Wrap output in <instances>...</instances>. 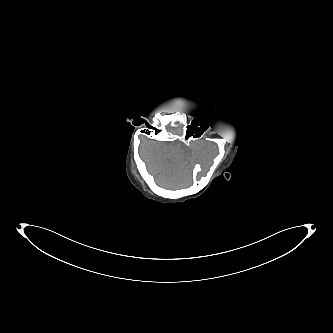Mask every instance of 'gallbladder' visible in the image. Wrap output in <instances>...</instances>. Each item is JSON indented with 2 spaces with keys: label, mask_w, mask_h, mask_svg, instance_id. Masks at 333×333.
<instances>
[{
  "label": "gallbladder",
  "mask_w": 333,
  "mask_h": 333,
  "mask_svg": "<svg viewBox=\"0 0 333 333\" xmlns=\"http://www.w3.org/2000/svg\"><path fill=\"white\" fill-rule=\"evenodd\" d=\"M187 105L189 106V100L187 101Z\"/></svg>",
  "instance_id": "1"
}]
</instances>
